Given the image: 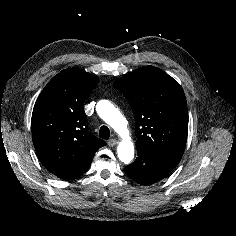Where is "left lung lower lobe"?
Instances as JSON below:
<instances>
[{
	"instance_id": "obj_1",
	"label": "left lung lower lobe",
	"mask_w": 236,
	"mask_h": 236,
	"mask_svg": "<svg viewBox=\"0 0 236 236\" xmlns=\"http://www.w3.org/2000/svg\"><path fill=\"white\" fill-rule=\"evenodd\" d=\"M135 162L125 168L135 182L148 186L165 178L179 161L145 150H137Z\"/></svg>"
}]
</instances>
